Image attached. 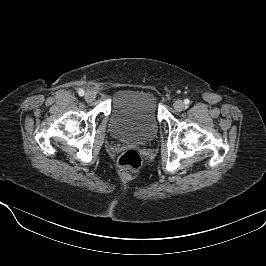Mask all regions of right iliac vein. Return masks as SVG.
Returning <instances> with one entry per match:
<instances>
[{
	"mask_svg": "<svg viewBox=\"0 0 266 266\" xmlns=\"http://www.w3.org/2000/svg\"><path fill=\"white\" fill-rule=\"evenodd\" d=\"M95 99V94L93 92H87L85 94V100L87 102H92Z\"/></svg>",
	"mask_w": 266,
	"mask_h": 266,
	"instance_id": "right-iliac-vein-1",
	"label": "right iliac vein"
}]
</instances>
